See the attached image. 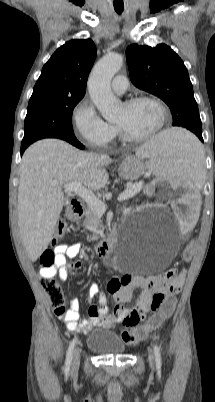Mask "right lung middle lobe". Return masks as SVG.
I'll return each mask as SVG.
<instances>
[{
	"mask_svg": "<svg viewBox=\"0 0 215 402\" xmlns=\"http://www.w3.org/2000/svg\"><path fill=\"white\" fill-rule=\"evenodd\" d=\"M81 99L49 94L31 96L22 145H30L42 138L68 140L73 137L72 112Z\"/></svg>",
	"mask_w": 215,
	"mask_h": 402,
	"instance_id": "obj_1",
	"label": "right lung middle lobe"
}]
</instances>
